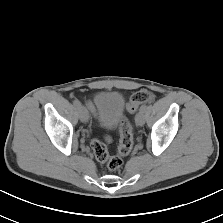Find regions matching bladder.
<instances>
[{"instance_id":"bladder-1","label":"bladder","mask_w":223,"mask_h":223,"mask_svg":"<svg viewBox=\"0 0 223 223\" xmlns=\"http://www.w3.org/2000/svg\"><path fill=\"white\" fill-rule=\"evenodd\" d=\"M100 125L105 129L115 128L122 120L125 97L118 91H101L95 95Z\"/></svg>"}]
</instances>
